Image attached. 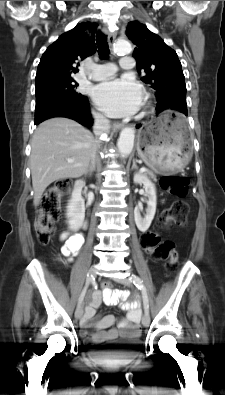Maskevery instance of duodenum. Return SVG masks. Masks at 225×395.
Listing matches in <instances>:
<instances>
[{
    "mask_svg": "<svg viewBox=\"0 0 225 395\" xmlns=\"http://www.w3.org/2000/svg\"><path fill=\"white\" fill-rule=\"evenodd\" d=\"M82 181H77L76 182V189H77V191L76 192H78V190L82 187Z\"/></svg>",
    "mask_w": 225,
    "mask_h": 395,
    "instance_id": "1",
    "label": "duodenum"
}]
</instances>
